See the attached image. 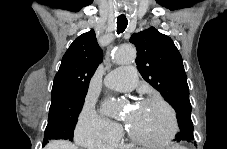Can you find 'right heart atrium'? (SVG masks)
Wrapping results in <instances>:
<instances>
[{
  "mask_svg": "<svg viewBox=\"0 0 227 149\" xmlns=\"http://www.w3.org/2000/svg\"><path fill=\"white\" fill-rule=\"evenodd\" d=\"M121 132L119 125L99 115L90 104H84L76 126V139L80 145L108 148L118 142Z\"/></svg>",
  "mask_w": 227,
  "mask_h": 149,
  "instance_id": "obj_1",
  "label": "right heart atrium"
}]
</instances>
